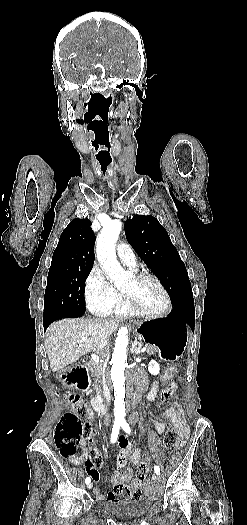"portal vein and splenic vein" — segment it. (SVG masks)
I'll return each instance as SVG.
<instances>
[{
  "instance_id": "18ae733b",
  "label": "portal vein and splenic vein",
  "mask_w": 247,
  "mask_h": 525,
  "mask_svg": "<svg viewBox=\"0 0 247 525\" xmlns=\"http://www.w3.org/2000/svg\"><path fill=\"white\" fill-rule=\"evenodd\" d=\"M145 350H148V347H141L140 353H145ZM89 358L94 360L95 363L102 362V357H99V355L94 352H89Z\"/></svg>"
}]
</instances>
